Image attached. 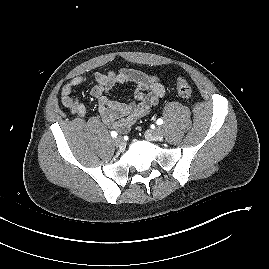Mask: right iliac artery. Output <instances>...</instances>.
<instances>
[{"label": "right iliac artery", "mask_w": 269, "mask_h": 269, "mask_svg": "<svg viewBox=\"0 0 269 269\" xmlns=\"http://www.w3.org/2000/svg\"><path fill=\"white\" fill-rule=\"evenodd\" d=\"M117 135H118V134H117L116 131H112V132H111V136H112V137H117Z\"/></svg>", "instance_id": "1"}]
</instances>
